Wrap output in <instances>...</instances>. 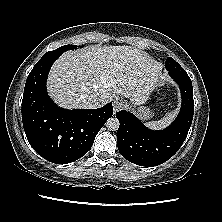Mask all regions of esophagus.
<instances>
[{
    "label": "esophagus",
    "instance_id": "34e87169",
    "mask_svg": "<svg viewBox=\"0 0 222 222\" xmlns=\"http://www.w3.org/2000/svg\"><path fill=\"white\" fill-rule=\"evenodd\" d=\"M125 107V102L124 100L120 99V98H116L114 101H113V109H114V112H118L119 110H121L122 108Z\"/></svg>",
    "mask_w": 222,
    "mask_h": 222
}]
</instances>
